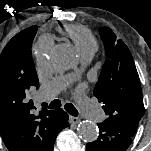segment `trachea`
<instances>
[{
	"instance_id": "obj_1",
	"label": "trachea",
	"mask_w": 151,
	"mask_h": 151,
	"mask_svg": "<svg viewBox=\"0 0 151 151\" xmlns=\"http://www.w3.org/2000/svg\"><path fill=\"white\" fill-rule=\"evenodd\" d=\"M60 107H61V101L57 99L53 100L48 106L49 109H57ZM64 108L70 115L75 117L78 116L77 109L71 103H66Z\"/></svg>"
}]
</instances>
